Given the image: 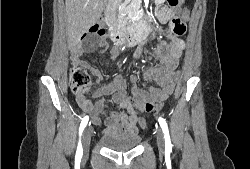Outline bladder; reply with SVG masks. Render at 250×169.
<instances>
[{"label": "bladder", "mask_w": 250, "mask_h": 169, "mask_svg": "<svg viewBox=\"0 0 250 169\" xmlns=\"http://www.w3.org/2000/svg\"><path fill=\"white\" fill-rule=\"evenodd\" d=\"M102 146L110 151H134L142 142V135L132 133H106L100 136Z\"/></svg>", "instance_id": "1"}]
</instances>
